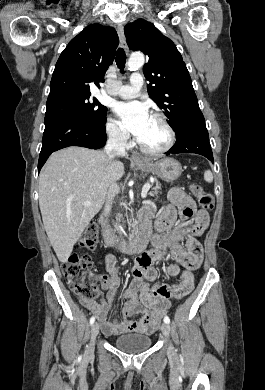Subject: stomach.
Returning <instances> with one entry per match:
<instances>
[{
  "mask_svg": "<svg viewBox=\"0 0 265 390\" xmlns=\"http://www.w3.org/2000/svg\"><path fill=\"white\" fill-rule=\"evenodd\" d=\"M135 166L145 172L156 174L161 179L171 182L177 179L182 173L181 164L173 158H164L154 161L150 158H145Z\"/></svg>",
  "mask_w": 265,
  "mask_h": 390,
  "instance_id": "obj_1",
  "label": "stomach"
}]
</instances>
